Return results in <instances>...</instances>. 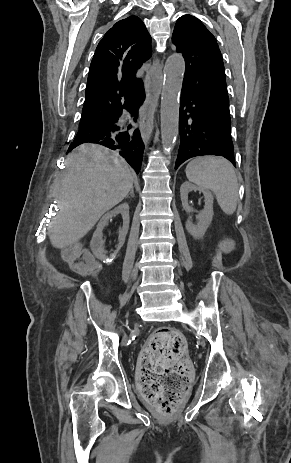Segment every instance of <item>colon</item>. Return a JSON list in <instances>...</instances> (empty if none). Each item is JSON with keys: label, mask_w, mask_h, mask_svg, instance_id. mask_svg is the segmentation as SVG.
<instances>
[{"label": "colon", "mask_w": 291, "mask_h": 463, "mask_svg": "<svg viewBox=\"0 0 291 463\" xmlns=\"http://www.w3.org/2000/svg\"><path fill=\"white\" fill-rule=\"evenodd\" d=\"M63 259L75 272L86 275L99 269L91 253L72 245ZM187 340L173 328H160L149 339L140 355L139 382L142 396L164 416L174 413L179 399L190 384V365L186 360Z\"/></svg>", "instance_id": "1"}]
</instances>
